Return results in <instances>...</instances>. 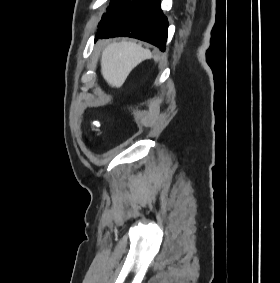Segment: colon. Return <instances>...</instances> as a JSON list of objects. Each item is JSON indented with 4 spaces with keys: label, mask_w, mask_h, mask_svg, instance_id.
Returning a JSON list of instances; mask_svg holds the SVG:
<instances>
[{
    "label": "colon",
    "mask_w": 280,
    "mask_h": 283,
    "mask_svg": "<svg viewBox=\"0 0 280 283\" xmlns=\"http://www.w3.org/2000/svg\"><path fill=\"white\" fill-rule=\"evenodd\" d=\"M93 124H94V126H96V127H100V126H101V123H100L99 121H95Z\"/></svg>",
    "instance_id": "5ec220e1"
}]
</instances>
